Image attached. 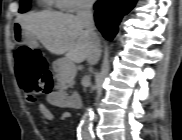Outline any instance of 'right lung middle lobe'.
<instances>
[{
	"label": "right lung middle lobe",
	"instance_id": "dd1d6c3e",
	"mask_svg": "<svg viewBox=\"0 0 182 140\" xmlns=\"http://www.w3.org/2000/svg\"><path fill=\"white\" fill-rule=\"evenodd\" d=\"M29 8H30V0L20 1V9H19L20 13H24V12L28 11Z\"/></svg>",
	"mask_w": 182,
	"mask_h": 140
}]
</instances>
